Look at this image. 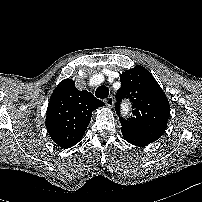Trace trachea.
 Returning a JSON list of instances; mask_svg holds the SVG:
<instances>
[{"mask_svg": "<svg viewBox=\"0 0 202 202\" xmlns=\"http://www.w3.org/2000/svg\"><path fill=\"white\" fill-rule=\"evenodd\" d=\"M109 95V89L106 86H99L95 91V96L101 99L107 98Z\"/></svg>", "mask_w": 202, "mask_h": 202, "instance_id": "1", "label": "trachea"}]
</instances>
